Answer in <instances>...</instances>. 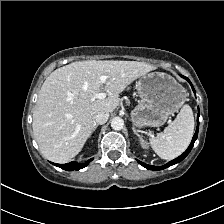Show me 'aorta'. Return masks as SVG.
<instances>
[{
    "mask_svg": "<svg viewBox=\"0 0 224 224\" xmlns=\"http://www.w3.org/2000/svg\"><path fill=\"white\" fill-rule=\"evenodd\" d=\"M123 126H124V121H123L122 118L115 117V118L112 119V121H111L112 129L118 131V130H121L123 128Z\"/></svg>",
    "mask_w": 224,
    "mask_h": 224,
    "instance_id": "762f6f07",
    "label": "aorta"
}]
</instances>
